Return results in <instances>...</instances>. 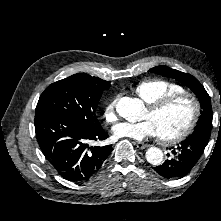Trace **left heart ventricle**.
Instances as JSON below:
<instances>
[{
	"mask_svg": "<svg viewBox=\"0 0 221 221\" xmlns=\"http://www.w3.org/2000/svg\"><path fill=\"white\" fill-rule=\"evenodd\" d=\"M190 116V103L187 100H180L157 113H151L147 109L144 118L153 121L158 135L169 137L179 133L188 123Z\"/></svg>",
	"mask_w": 221,
	"mask_h": 221,
	"instance_id": "1",
	"label": "left heart ventricle"
}]
</instances>
